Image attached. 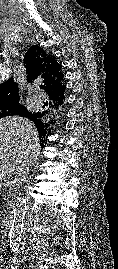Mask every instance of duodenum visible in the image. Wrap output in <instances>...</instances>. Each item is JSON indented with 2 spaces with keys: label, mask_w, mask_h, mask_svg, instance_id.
Masks as SVG:
<instances>
[{
  "label": "duodenum",
  "mask_w": 118,
  "mask_h": 269,
  "mask_svg": "<svg viewBox=\"0 0 118 269\" xmlns=\"http://www.w3.org/2000/svg\"><path fill=\"white\" fill-rule=\"evenodd\" d=\"M2 224H3L4 230L6 231L9 230L12 225V218L10 216L4 217V219L2 220Z\"/></svg>",
  "instance_id": "obj_1"
}]
</instances>
